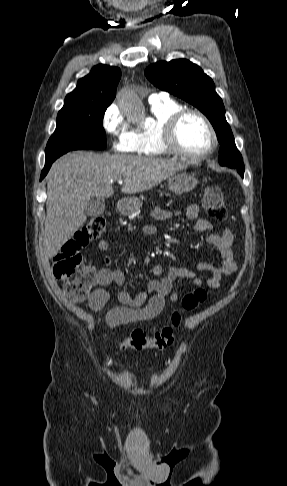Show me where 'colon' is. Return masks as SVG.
<instances>
[{
	"mask_svg": "<svg viewBox=\"0 0 287 486\" xmlns=\"http://www.w3.org/2000/svg\"><path fill=\"white\" fill-rule=\"evenodd\" d=\"M203 206L213 219L226 220L227 209L224 196L218 186L209 185L205 188ZM105 229L104 217L91 218L74 234L73 238L61 247L53 259V274L63 283L66 295L74 302H84L89 298L97 276L95 269L83 262L81 250L90 242L98 239ZM207 296L208 293L203 288L187 294L182 299L181 307L172 313L170 325L152 334L143 330H135L120 341L119 347L122 350L142 351L146 349L161 350L171 346L184 313L197 309L206 301Z\"/></svg>",
	"mask_w": 287,
	"mask_h": 486,
	"instance_id": "1",
	"label": "colon"
}]
</instances>
